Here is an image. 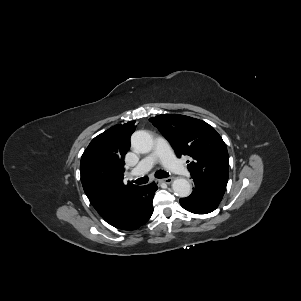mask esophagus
Returning a JSON list of instances; mask_svg holds the SVG:
<instances>
[{"label":"esophagus","mask_w":301,"mask_h":301,"mask_svg":"<svg viewBox=\"0 0 301 301\" xmlns=\"http://www.w3.org/2000/svg\"><path fill=\"white\" fill-rule=\"evenodd\" d=\"M160 183H165V184H171L173 179L171 177H168V178H164V179H161V180H158Z\"/></svg>","instance_id":"34e87169"}]
</instances>
